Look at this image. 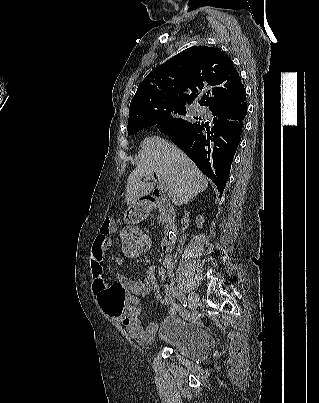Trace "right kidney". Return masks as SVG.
Returning <instances> with one entry per match:
<instances>
[{
	"label": "right kidney",
	"mask_w": 319,
	"mask_h": 403,
	"mask_svg": "<svg viewBox=\"0 0 319 403\" xmlns=\"http://www.w3.org/2000/svg\"><path fill=\"white\" fill-rule=\"evenodd\" d=\"M204 217L202 215L196 217V225L198 228H202L203 227V223H204Z\"/></svg>",
	"instance_id": "ca27d5eb"
}]
</instances>
